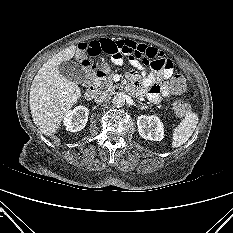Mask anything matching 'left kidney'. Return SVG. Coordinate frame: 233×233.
<instances>
[{
	"instance_id": "5707ae66",
	"label": "left kidney",
	"mask_w": 233,
	"mask_h": 233,
	"mask_svg": "<svg viewBox=\"0 0 233 233\" xmlns=\"http://www.w3.org/2000/svg\"><path fill=\"white\" fill-rule=\"evenodd\" d=\"M138 132L142 138L161 141L164 138L163 123L156 115H141L137 118Z\"/></svg>"
}]
</instances>
